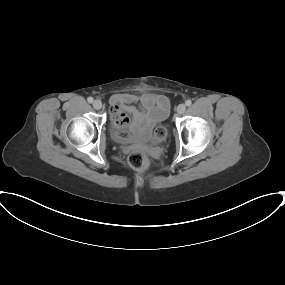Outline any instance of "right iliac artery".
<instances>
[{
  "label": "right iliac artery",
  "instance_id": "82829eb1",
  "mask_svg": "<svg viewBox=\"0 0 285 285\" xmlns=\"http://www.w3.org/2000/svg\"><path fill=\"white\" fill-rule=\"evenodd\" d=\"M87 101H88L89 103H92V102H93V98H92V97H88Z\"/></svg>",
  "mask_w": 285,
  "mask_h": 285
}]
</instances>
